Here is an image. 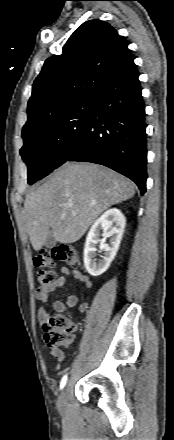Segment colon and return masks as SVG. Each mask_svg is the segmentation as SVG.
Segmentation results:
<instances>
[{
	"label": "colon",
	"mask_w": 174,
	"mask_h": 440,
	"mask_svg": "<svg viewBox=\"0 0 174 440\" xmlns=\"http://www.w3.org/2000/svg\"><path fill=\"white\" fill-rule=\"evenodd\" d=\"M39 269L37 280L43 287L50 286L57 278L54 269L56 261L65 262L71 266H78L80 257L77 249L68 244H58L40 250L33 258ZM44 339L53 350L69 346L73 341V326L63 315L50 316L43 324Z\"/></svg>",
	"instance_id": "1"
}]
</instances>
